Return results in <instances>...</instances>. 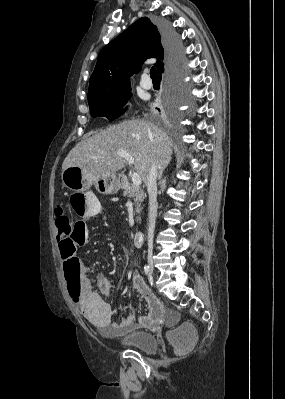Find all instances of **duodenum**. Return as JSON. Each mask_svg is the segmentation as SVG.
Returning <instances> with one entry per match:
<instances>
[{
    "mask_svg": "<svg viewBox=\"0 0 285 399\" xmlns=\"http://www.w3.org/2000/svg\"><path fill=\"white\" fill-rule=\"evenodd\" d=\"M146 233L144 230H138L134 233L133 242L135 245H141L145 239Z\"/></svg>",
    "mask_w": 285,
    "mask_h": 399,
    "instance_id": "obj_1",
    "label": "duodenum"
}]
</instances>
